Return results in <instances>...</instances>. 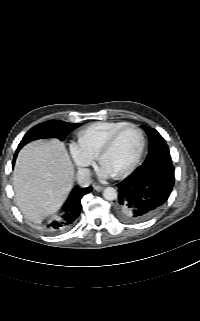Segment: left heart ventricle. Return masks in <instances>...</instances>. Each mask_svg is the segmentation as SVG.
<instances>
[{
	"mask_svg": "<svg viewBox=\"0 0 200 321\" xmlns=\"http://www.w3.org/2000/svg\"><path fill=\"white\" fill-rule=\"evenodd\" d=\"M140 147V135L130 128L124 131L115 145L102 158L101 165L112 175L126 170L134 160Z\"/></svg>",
	"mask_w": 200,
	"mask_h": 321,
	"instance_id": "left-heart-ventricle-1",
	"label": "left heart ventricle"
}]
</instances>
